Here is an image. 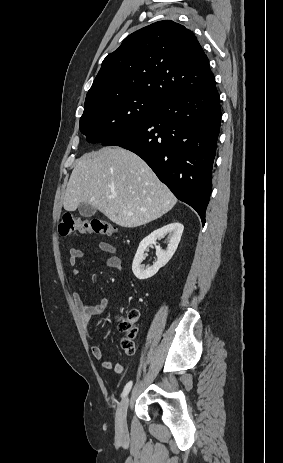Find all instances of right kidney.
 Listing matches in <instances>:
<instances>
[{
  "label": "right kidney",
  "mask_w": 283,
  "mask_h": 463,
  "mask_svg": "<svg viewBox=\"0 0 283 463\" xmlns=\"http://www.w3.org/2000/svg\"><path fill=\"white\" fill-rule=\"evenodd\" d=\"M183 230L184 226L182 224L178 222H173L155 230L150 235L145 237L139 244V247L133 259L132 271L134 275L140 280H145L154 276L161 267L165 266L175 253L180 242ZM166 234H169L170 238L167 250L163 251L160 248V246H156L157 261L152 266L144 269V267L141 265V262L144 259V251L149 245L156 244V240L159 237H162Z\"/></svg>",
  "instance_id": "ca27d5eb"
}]
</instances>
